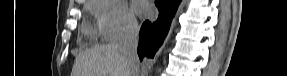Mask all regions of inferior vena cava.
<instances>
[{
	"label": "inferior vena cava",
	"instance_id": "inferior-vena-cava-1",
	"mask_svg": "<svg viewBox=\"0 0 287 76\" xmlns=\"http://www.w3.org/2000/svg\"><path fill=\"white\" fill-rule=\"evenodd\" d=\"M138 36V23L131 19L124 28L119 41L120 51L125 55L130 65V76H139V57L137 55Z\"/></svg>",
	"mask_w": 287,
	"mask_h": 76
}]
</instances>
